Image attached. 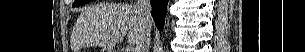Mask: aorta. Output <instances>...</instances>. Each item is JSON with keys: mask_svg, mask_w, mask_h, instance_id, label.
Wrapping results in <instances>:
<instances>
[{"mask_svg": "<svg viewBox=\"0 0 305 52\" xmlns=\"http://www.w3.org/2000/svg\"><path fill=\"white\" fill-rule=\"evenodd\" d=\"M163 33H164V35H166V34H167V30H166V29H164Z\"/></svg>", "mask_w": 305, "mask_h": 52, "instance_id": "1", "label": "aorta"}]
</instances>
